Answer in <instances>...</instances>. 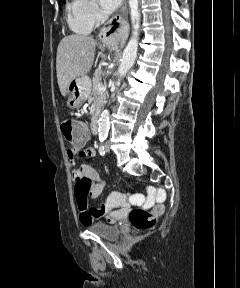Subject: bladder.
Returning a JSON list of instances; mask_svg holds the SVG:
<instances>
[{"mask_svg": "<svg viewBox=\"0 0 240 288\" xmlns=\"http://www.w3.org/2000/svg\"><path fill=\"white\" fill-rule=\"evenodd\" d=\"M89 230L95 235L108 240H115L119 237L120 234L117 226L103 222L90 225Z\"/></svg>", "mask_w": 240, "mask_h": 288, "instance_id": "1", "label": "bladder"}]
</instances>
